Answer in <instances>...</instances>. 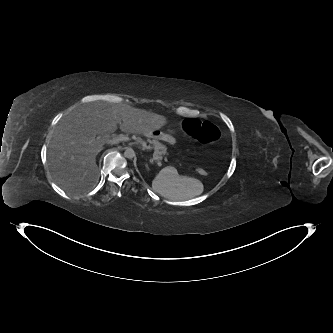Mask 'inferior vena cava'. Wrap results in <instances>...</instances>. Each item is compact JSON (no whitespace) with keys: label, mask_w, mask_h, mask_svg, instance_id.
<instances>
[{"label":"inferior vena cava","mask_w":333,"mask_h":333,"mask_svg":"<svg viewBox=\"0 0 333 333\" xmlns=\"http://www.w3.org/2000/svg\"><path fill=\"white\" fill-rule=\"evenodd\" d=\"M117 143H118V142H115V141H112V140L109 141V144H111V145H112V144H117Z\"/></svg>","instance_id":"1"}]
</instances>
